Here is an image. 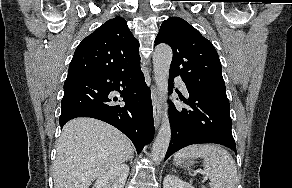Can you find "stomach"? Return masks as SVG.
I'll use <instances>...</instances> for the list:
<instances>
[{
  "instance_id": "0dacf381",
  "label": "stomach",
  "mask_w": 292,
  "mask_h": 188,
  "mask_svg": "<svg viewBox=\"0 0 292 188\" xmlns=\"http://www.w3.org/2000/svg\"><path fill=\"white\" fill-rule=\"evenodd\" d=\"M174 163L176 164V166L187 168L194 163V157H189L181 160H174Z\"/></svg>"
}]
</instances>
